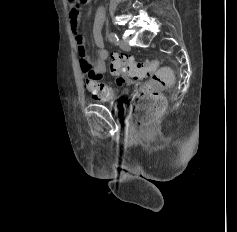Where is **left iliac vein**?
I'll use <instances>...</instances> for the list:
<instances>
[{
    "label": "left iliac vein",
    "mask_w": 237,
    "mask_h": 232,
    "mask_svg": "<svg viewBox=\"0 0 237 232\" xmlns=\"http://www.w3.org/2000/svg\"><path fill=\"white\" fill-rule=\"evenodd\" d=\"M119 45H120V48H121L122 50H125V51L130 50L129 44L126 43V42L123 41V40H121V41L119 42Z\"/></svg>",
    "instance_id": "left-iliac-vein-1"
}]
</instances>
